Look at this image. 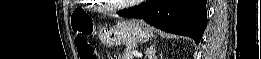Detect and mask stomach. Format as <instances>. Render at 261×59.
<instances>
[{"label":"stomach","mask_w":261,"mask_h":59,"mask_svg":"<svg viewBox=\"0 0 261 59\" xmlns=\"http://www.w3.org/2000/svg\"><path fill=\"white\" fill-rule=\"evenodd\" d=\"M153 37V30L142 20H120L114 26H103L99 38L103 45H135L144 43Z\"/></svg>","instance_id":"obj_1"}]
</instances>
